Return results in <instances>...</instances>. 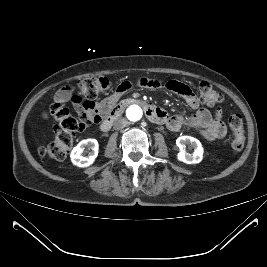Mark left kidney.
<instances>
[{
	"label": "left kidney",
	"instance_id": "left-kidney-1",
	"mask_svg": "<svg viewBox=\"0 0 267 267\" xmlns=\"http://www.w3.org/2000/svg\"><path fill=\"white\" fill-rule=\"evenodd\" d=\"M180 152L177 154V159L186 164H196L201 162L203 158V147L201 142L191 136H180L176 140ZM186 145H191L194 148L192 154L185 151Z\"/></svg>",
	"mask_w": 267,
	"mask_h": 267
}]
</instances>
